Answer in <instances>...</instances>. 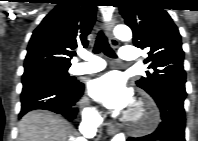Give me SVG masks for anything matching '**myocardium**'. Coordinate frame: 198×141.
I'll return each instance as SVG.
<instances>
[{
    "instance_id": "myocardium-1",
    "label": "myocardium",
    "mask_w": 198,
    "mask_h": 141,
    "mask_svg": "<svg viewBox=\"0 0 198 141\" xmlns=\"http://www.w3.org/2000/svg\"><path fill=\"white\" fill-rule=\"evenodd\" d=\"M158 121V113L155 106L148 100H140L132 113L127 117L129 126L135 130H149Z\"/></svg>"
}]
</instances>
